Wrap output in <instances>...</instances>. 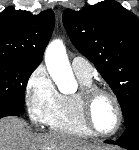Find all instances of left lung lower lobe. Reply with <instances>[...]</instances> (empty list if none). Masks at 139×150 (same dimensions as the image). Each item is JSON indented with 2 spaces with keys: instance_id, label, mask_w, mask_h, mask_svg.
<instances>
[{
  "instance_id": "1",
  "label": "left lung lower lobe",
  "mask_w": 139,
  "mask_h": 150,
  "mask_svg": "<svg viewBox=\"0 0 139 150\" xmlns=\"http://www.w3.org/2000/svg\"><path fill=\"white\" fill-rule=\"evenodd\" d=\"M137 118H139V114H137ZM105 143L116 144L128 150H139V120L126 127L125 132L118 140H106Z\"/></svg>"
}]
</instances>
